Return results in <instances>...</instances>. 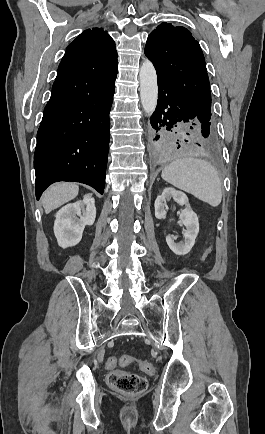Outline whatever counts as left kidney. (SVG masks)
I'll list each match as a JSON object with an SVG mask.
<instances>
[{
	"instance_id": "left-kidney-1",
	"label": "left kidney",
	"mask_w": 265,
	"mask_h": 434,
	"mask_svg": "<svg viewBox=\"0 0 265 434\" xmlns=\"http://www.w3.org/2000/svg\"><path fill=\"white\" fill-rule=\"evenodd\" d=\"M171 198H173L177 204H180V206H185L184 210L179 212V220L184 224L186 230H184L183 242L175 244L170 236H167L166 242L174 254H177V256H185L195 244V240L199 234V222L188 202L186 194L179 192V190H174V188H164L161 196H157L154 204L155 218H158V220L165 218L167 214L165 210L166 202L171 200Z\"/></svg>"
}]
</instances>
